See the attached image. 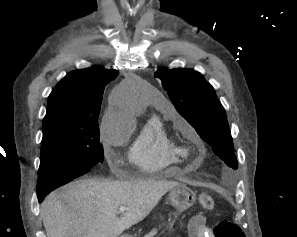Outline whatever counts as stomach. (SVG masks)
Wrapping results in <instances>:
<instances>
[{"mask_svg": "<svg viewBox=\"0 0 297 237\" xmlns=\"http://www.w3.org/2000/svg\"><path fill=\"white\" fill-rule=\"evenodd\" d=\"M196 195L185 186H178L170 191L168 200L170 204L178 211H184L190 208L195 202ZM121 237H131L130 235H122Z\"/></svg>", "mask_w": 297, "mask_h": 237, "instance_id": "obj_1", "label": "stomach"}]
</instances>
